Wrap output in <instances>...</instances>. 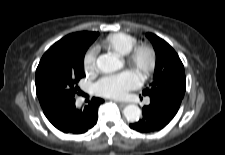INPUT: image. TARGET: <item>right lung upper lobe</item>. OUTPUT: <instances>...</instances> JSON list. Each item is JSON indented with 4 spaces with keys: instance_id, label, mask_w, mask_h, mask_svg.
I'll return each instance as SVG.
<instances>
[{
    "instance_id": "cb5924a9",
    "label": "right lung upper lobe",
    "mask_w": 225,
    "mask_h": 155,
    "mask_svg": "<svg viewBox=\"0 0 225 155\" xmlns=\"http://www.w3.org/2000/svg\"><path fill=\"white\" fill-rule=\"evenodd\" d=\"M98 35V32L87 31L69 34L63 37L58 42H56L53 46H51L45 54H47L53 49L68 50L75 47H84L88 49V47L93 43V41L97 38ZM36 92L42 108L52 102L50 100L45 99L37 90Z\"/></svg>"
}]
</instances>
